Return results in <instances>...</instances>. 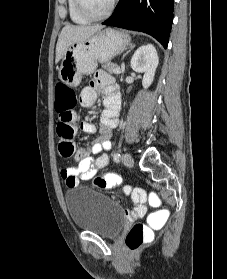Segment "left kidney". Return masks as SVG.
<instances>
[{
    "label": "left kidney",
    "mask_w": 227,
    "mask_h": 279,
    "mask_svg": "<svg viewBox=\"0 0 227 279\" xmlns=\"http://www.w3.org/2000/svg\"><path fill=\"white\" fill-rule=\"evenodd\" d=\"M158 63L157 51L152 44L142 45L133 54L131 68L135 72H144L142 79L144 88H148L152 84Z\"/></svg>",
    "instance_id": "1"
}]
</instances>
